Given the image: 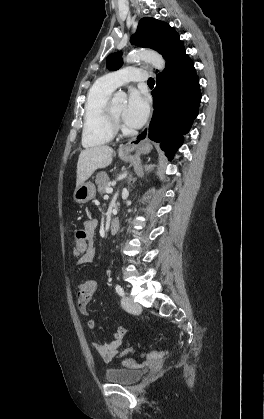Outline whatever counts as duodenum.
<instances>
[{
  "label": "duodenum",
  "instance_id": "410a0bca",
  "mask_svg": "<svg viewBox=\"0 0 264 419\" xmlns=\"http://www.w3.org/2000/svg\"><path fill=\"white\" fill-rule=\"evenodd\" d=\"M119 227H120L119 220H117V219H113V220L110 222V225H109V232H110L111 234H115L116 232H118Z\"/></svg>",
  "mask_w": 264,
  "mask_h": 419
}]
</instances>
